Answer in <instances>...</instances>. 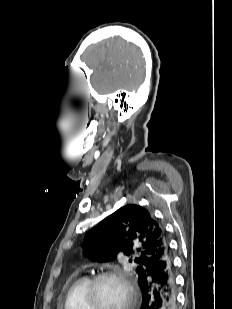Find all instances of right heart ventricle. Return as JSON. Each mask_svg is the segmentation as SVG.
I'll return each instance as SVG.
<instances>
[{
  "label": "right heart ventricle",
  "mask_w": 232,
  "mask_h": 309,
  "mask_svg": "<svg viewBox=\"0 0 232 309\" xmlns=\"http://www.w3.org/2000/svg\"><path fill=\"white\" fill-rule=\"evenodd\" d=\"M89 281V277L82 276L70 286L66 294L64 309H88L85 292Z\"/></svg>",
  "instance_id": "e07e8e85"
}]
</instances>
